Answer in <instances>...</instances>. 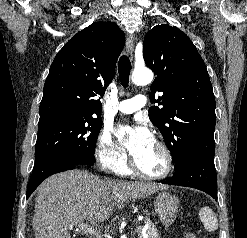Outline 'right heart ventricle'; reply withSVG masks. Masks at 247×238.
<instances>
[{"label":"right heart ventricle","mask_w":247,"mask_h":238,"mask_svg":"<svg viewBox=\"0 0 247 238\" xmlns=\"http://www.w3.org/2000/svg\"><path fill=\"white\" fill-rule=\"evenodd\" d=\"M118 173L122 174V175H128L130 174V170L129 168L124 165L122 168H120L119 170H117Z\"/></svg>","instance_id":"e07e8e85"}]
</instances>
